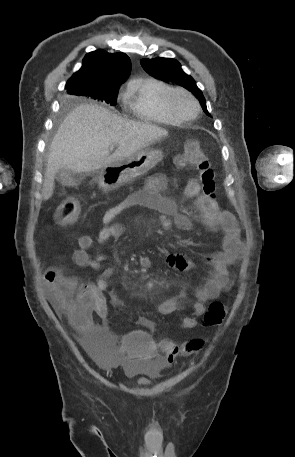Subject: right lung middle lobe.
I'll use <instances>...</instances> for the list:
<instances>
[{
    "label": "right lung middle lobe",
    "mask_w": 295,
    "mask_h": 457,
    "mask_svg": "<svg viewBox=\"0 0 295 457\" xmlns=\"http://www.w3.org/2000/svg\"><path fill=\"white\" fill-rule=\"evenodd\" d=\"M119 87L91 89L83 85H74L70 94L88 96L98 101L106 102L112 106L116 105Z\"/></svg>",
    "instance_id": "obj_1"
}]
</instances>
